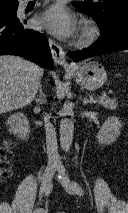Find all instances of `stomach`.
<instances>
[{"label":"stomach","mask_w":128,"mask_h":213,"mask_svg":"<svg viewBox=\"0 0 128 213\" xmlns=\"http://www.w3.org/2000/svg\"><path fill=\"white\" fill-rule=\"evenodd\" d=\"M69 72L80 86L88 90L100 88L107 80L106 70L100 63L95 61L76 65Z\"/></svg>","instance_id":"1"}]
</instances>
